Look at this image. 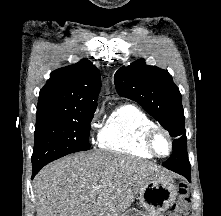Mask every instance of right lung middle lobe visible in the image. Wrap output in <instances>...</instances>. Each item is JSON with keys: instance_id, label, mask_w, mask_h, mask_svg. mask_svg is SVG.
Segmentation results:
<instances>
[{"instance_id": "right-lung-middle-lobe-1", "label": "right lung middle lobe", "mask_w": 221, "mask_h": 216, "mask_svg": "<svg viewBox=\"0 0 221 216\" xmlns=\"http://www.w3.org/2000/svg\"><path fill=\"white\" fill-rule=\"evenodd\" d=\"M95 110L36 123L32 166L46 165L70 153L89 150L90 122Z\"/></svg>"}]
</instances>
